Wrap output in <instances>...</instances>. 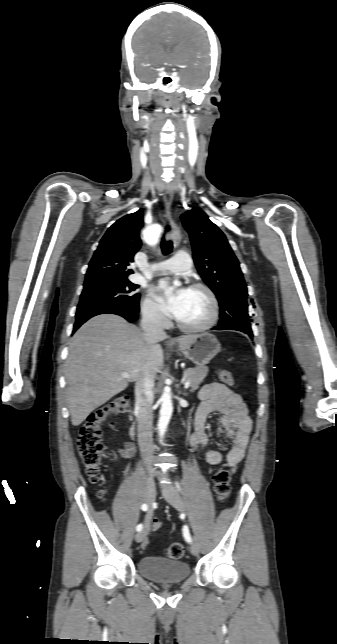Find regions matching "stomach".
<instances>
[{
    "mask_svg": "<svg viewBox=\"0 0 337 644\" xmlns=\"http://www.w3.org/2000/svg\"><path fill=\"white\" fill-rule=\"evenodd\" d=\"M179 351L196 366L204 367L221 351V344L214 335L202 333L193 343L180 346Z\"/></svg>",
    "mask_w": 337,
    "mask_h": 644,
    "instance_id": "stomach-1",
    "label": "stomach"
}]
</instances>
